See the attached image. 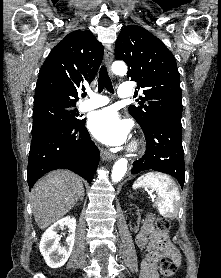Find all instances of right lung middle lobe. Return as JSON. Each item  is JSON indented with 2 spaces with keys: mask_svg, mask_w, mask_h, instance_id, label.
Returning <instances> with one entry per match:
<instances>
[{
  "mask_svg": "<svg viewBox=\"0 0 221 278\" xmlns=\"http://www.w3.org/2000/svg\"><path fill=\"white\" fill-rule=\"evenodd\" d=\"M76 103L49 101L34 105L32 134L52 126H75L82 120L78 119Z\"/></svg>",
  "mask_w": 221,
  "mask_h": 278,
  "instance_id": "dd1d6c3e",
  "label": "right lung middle lobe"
}]
</instances>
